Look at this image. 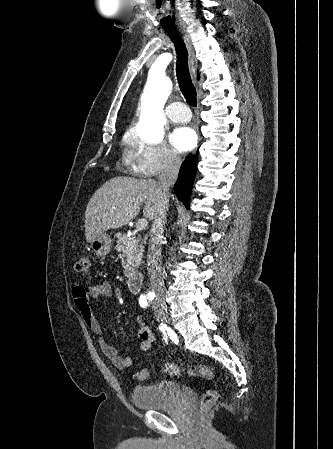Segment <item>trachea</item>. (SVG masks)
I'll use <instances>...</instances> for the list:
<instances>
[{"instance_id":"1","label":"trachea","mask_w":333,"mask_h":449,"mask_svg":"<svg viewBox=\"0 0 333 449\" xmlns=\"http://www.w3.org/2000/svg\"><path fill=\"white\" fill-rule=\"evenodd\" d=\"M170 39L174 43L177 54L176 73L178 84L187 103L193 107L197 106L196 90L192 83L188 69V51L181 36L175 27H164Z\"/></svg>"}]
</instances>
